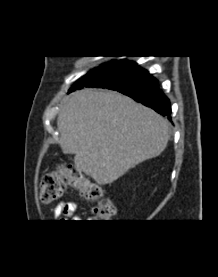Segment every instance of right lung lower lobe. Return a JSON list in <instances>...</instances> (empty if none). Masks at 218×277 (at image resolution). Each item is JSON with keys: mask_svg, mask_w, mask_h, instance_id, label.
Returning <instances> with one entry per match:
<instances>
[{"mask_svg": "<svg viewBox=\"0 0 218 277\" xmlns=\"http://www.w3.org/2000/svg\"><path fill=\"white\" fill-rule=\"evenodd\" d=\"M90 86L101 87V81L99 80L97 74H88L85 76L75 89ZM113 90L119 91L144 104L145 106L151 107L156 112L171 120V107L169 99L159 89L158 81L149 73L131 85Z\"/></svg>", "mask_w": 218, "mask_h": 277, "instance_id": "obj_1", "label": "right lung lower lobe"}]
</instances>
